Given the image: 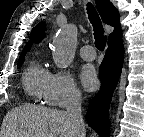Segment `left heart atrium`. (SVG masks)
Masks as SVG:
<instances>
[{"mask_svg":"<svg viewBox=\"0 0 144 137\" xmlns=\"http://www.w3.org/2000/svg\"><path fill=\"white\" fill-rule=\"evenodd\" d=\"M81 81L87 90H93L98 86V77L93 66H83L81 70Z\"/></svg>","mask_w":144,"mask_h":137,"instance_id":"39dd6f15","label":"left heart atrium"}]
</instances>
